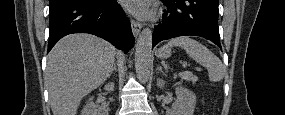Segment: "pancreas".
<instances>
[{
	"label": "pancreas",
	"instance_id": "1",
	"mask_svg": "<svg viewBox=\"0 0 285 115\" xmlns=\"http://www.w3.org/2000/svg\"><path fill=\"white\" fill-rule=\"evenodd\" d=\"M183 80L191 81L193 84H195L198 80V77L194 76L192 72H182L179 75Z\"/></svg>",
	"mask_w": 285,
	"mask_h": 115
}]
</instances>
